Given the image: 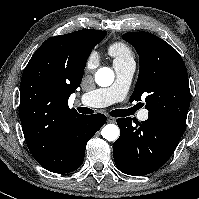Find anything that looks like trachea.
Masks as SVG:
<instances>
[{"mask_svg": "<svg viewBox=\"0 0 199 199\" xmlns=\"http://www.w3.org/2000/svg\"><path fill=\"white\" fill-rule=\"evenodd\" d=\"M78 111L83 114H92L94 111L87 107H79ZM130 111L126 109H116L110 112L113 117H123L129 115Z\"/></svg>", "mask_w": 199, "mask_h": 199, "instance_id": "1", "label": "trachea"}]
</instances>
